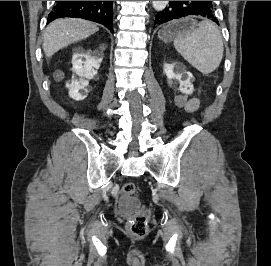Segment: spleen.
<instances>
[{
    "mask_svg": "<svg viewBox=\"0 0 271 266\" xmlns=\"http://www.w3.org/2000/svg\"><path fill=\"white\" fill-rule=\"evenodd\" d=\"M174 46L203 75L214 72L223 58L221 33L215 24L207 20L194 24L192 30L176 36Z\"/></svg>",
    "mask_w": 271,
    "mask_h": 266,
    "instance_id": "3e777b00",
    "label": "spleen"
}]
</instances>
